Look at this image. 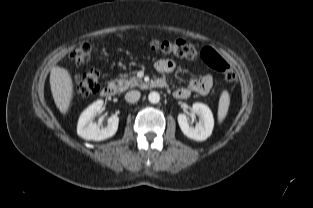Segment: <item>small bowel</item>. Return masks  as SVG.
Returning a JSON list of instances; mask_svg holds the SVG:
<instances>
[{"label": "small bowel", "instance_id": "obj_1", "mask_svg": "<svg viewBox=\"0 0 313 208\" xmlns=\"http://www.w3.org/2000/svg\"><path fill=\"white\" fill-rule=\"evenodd\" d=\"M174 68L175 64L170 59H160L155 63V69L162 75L172 73ZM212 86V77L210 75H204L200 78L191 79L187 87L175 90L174 96L178 99H187L192 93L206 95L210 92Z\"/></svg>", "mask_w": 313, "mask_h": 208}]
</instances>
